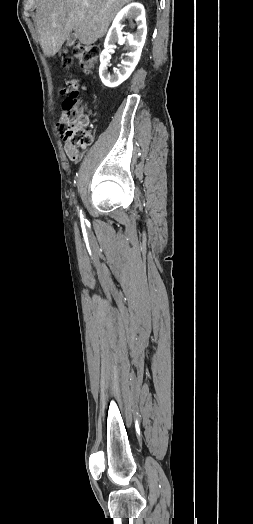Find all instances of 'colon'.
I'll use <instances>...</instances> for the list:
<instances>
[{"mask_svg": "<svg viewBox=\"0 0 253 524\" xmlns=\"http://www.w3.org/2000/svg\"><path fill=\"white\" fill-rule=\"evenodd\" d=\"M100 55V48L94 43H77L74 44L70 51H65L61 56V64L64 68H69L72 64L73 57H75L82 70L86 73L91 72L93 64ZM78 88L76 85H79ZM90 82L83 80L79 76L72 78V83H68L62 89V93H66L61 110L59 120L57 122V133L67 142L72 148L88 147L92 144L93 137L85 124L83 115L84 104L80 100V94L88 93L90 91Z\"/></svg>", "mask_w": 253, "mask_h": 524, "instance_id": "colon-1", "label": "colon"}]
</instances>
